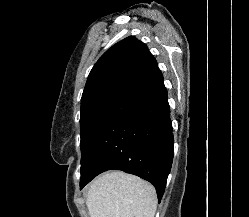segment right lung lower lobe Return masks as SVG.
I'll list each match as a JSON object with an SVG mask.
<instances>
[{
    "label": "right lung lower lobe",
    "instance_id": "98d812e1",
    "mask_svg": "<svg viewBox=\"0 0 249 217\" xmlns=\"http://www.w3.org/2000/svg\"><path fill=\"white\" fill-rule=\"evenodd\" d=\"M167 90L158 66L111 106L81 159L80 189L98 174L121 170L154 185L160 202L173 161Z\"/></svg>",
    "mask_w": 249,
    "mask_h": 217
}]
</instances>
